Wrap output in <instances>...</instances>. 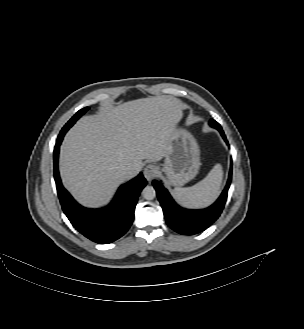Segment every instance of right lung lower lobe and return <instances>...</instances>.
Segmentation results:
<instances>
[{
  "mask_svg": "<svg viewBox=\"0 0 304 329\" xmlns=\"http://www.w3.org/2000/svg\"><path fill=\"white\" fill-rule=\"evenodd\" d=\"M65 133H60L54 148V179L60 203L65 215L76 230L88 239L108 244L122 237L134 220L138 196L146 185L140 173L122 185L113 201L102 209H88L79 205L63 187L58 172L59 147Z\"/></svg>",
  "mask_w": 304,
  "mask_h": 329,
  "instance_id": "obj_1",
  "label": "right lung lower lobe"
}]
</instances>
